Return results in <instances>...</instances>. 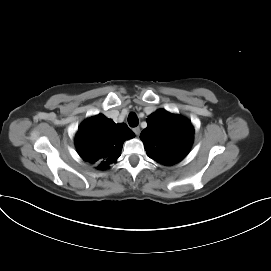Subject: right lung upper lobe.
<instances>
[{
	"label": "right lung upper lobe",
	"instance_id": "1",
	"mask_svg": "<svg viewBox=\"0 0 271 271\" xmlns=\"http://www.w3.org/2000/svg\"><path fill=\"white\" fill-rule=\"evenodd\" d=\"M134 136L126 124H115L99 114L81 124L75 144L84 161L97 162L99 169H106L120 156L124 140Z\"/></svg>",
	"mask_w": 271,
	"mask_h": 271
}]
</instances>
